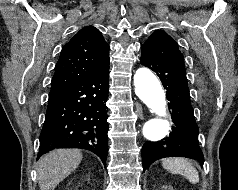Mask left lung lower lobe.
I'll return each instance as SVG.
<instances>
[{"mask_svg": "<svg viewBox=\"0 0 238 190\" xmlns=\"http://www.w3.org/2000/svg\"><path fill=\"white\" fill-rule=\"evenodd\" d=\"M141 64L159 76L166 91L168 107L174 125L169 136L156 142H146L142 148V163L145 170L152 162L165 157H186L204 162L198 142V127L183 64L166 62L142 54Z\"/></svg>", "mask_w": 238, "mask_h": 190, "instance_id": "obj_1", "label": "left lung lower lobe"}]
</instances>
